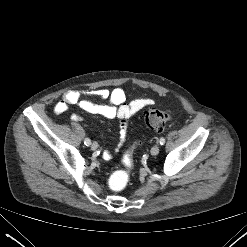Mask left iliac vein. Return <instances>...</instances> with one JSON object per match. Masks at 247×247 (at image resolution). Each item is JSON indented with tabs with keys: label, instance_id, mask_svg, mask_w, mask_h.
<instances>
[{
	"label": "left iliac vein",
	"instance_id": "4c4485c4",
	"mask_svg": "<svg viewBox=\"0 0 247 247\" xmlns=\"http://www.w3.org/2000/svg\"><path fill=\"white\" fill-rule=\"evenodd\" d=\"M159 151H160V147H159L158 145H155V146H153V147L151 148V154H152L153 156L157 155V154L159 153Z\"/></svg>",
	"mask_w": 247,
	"mask_h": 247
}]
</instances>
